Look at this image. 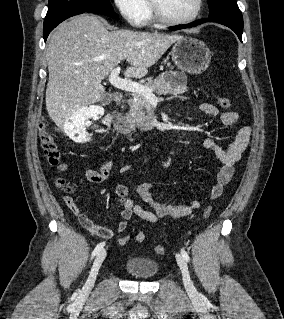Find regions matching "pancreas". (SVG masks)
Segmentation results:
<instances>
[{"label":"pancreas","mask_w":284,"mask_h":319,"mask_svg":"<svg viewBox=\"0 0 284 319\" xmlns=\"http://www.w3.org/2000/svg\"><path fill=\"white\" fill-rule=\"evenodd\" d=\"M182 77L183 81L178 82L177 78ZM146 87L152 88L157 94H183L187 90L186 76L177 71H166L156 79L148 78ZM130 111L127 119L132 128H138L140 131H149L153 129L151 119L154 112L151 103L141 94L134 93L129 100Z\"/></svg>","instance_id":"1"}]
</instances>
